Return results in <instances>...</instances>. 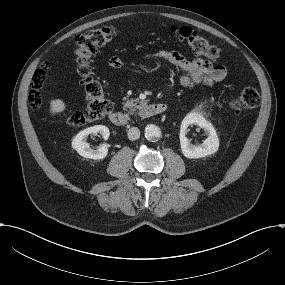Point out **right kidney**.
<instances>
[{
    "label": "right kidney",
    "mask_w": 285,
    "mask_h": 285,
    "mask_svg": "<svg viewBox=\"0 0 285 285\" xmlns=\"http://www.w3.org/2000/svg\"><path fill=\"white\" fill-rule=\"evenodd\" d=\"M91 133H100L104 139L109 137V130L103 125H97L80 131L72 140V148L83 158L92 160H102L108 156L107 145H102L98 150H92L89 145L83 141Z\"/></svg>",
    "instance_id": "right-kidney-1"
}]
</instances>
